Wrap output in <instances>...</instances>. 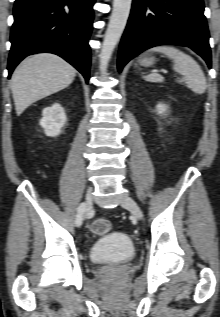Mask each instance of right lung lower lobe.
<instances>
[{
    "label": "right lung lower lobe",
    "mask_w": 220,
    "mask_h": 317,
    "mask_svg": "<svg viewBox=\"0 0 220 317\" xmlns=\"http://www.w3.org/2000/svg\"><path fill=\"white\" fill-rule=\"evenodd\" d=\"M95 0H16L8 71L26 56L57 54L89 80L90 47Z\"/></svg>",
    "instance_id": "right-lung-lower-lobe-1"
}]
</instances>
